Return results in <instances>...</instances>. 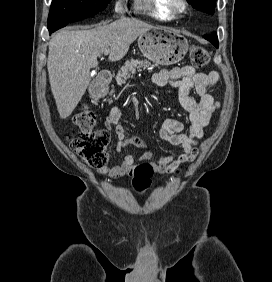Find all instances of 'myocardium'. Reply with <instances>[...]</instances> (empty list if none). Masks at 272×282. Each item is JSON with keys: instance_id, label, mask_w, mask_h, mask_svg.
Listing matches in <instances>:
<instances>
[{"instance_id": "f54148a6", "label": "myocardium", "mask_w": 272, "mask_h": 282, "mask_svg": "<svg viewBox=\"0 0 272 282\" xmlns=\"http://www.w3.org/2000/svg\"><path fill=\"white\" fill-rule=\"evenodd\" d=\"M166 7L173 16H182L188 10V4L185 0H166Z\"/></svg>"}]
</instances>
